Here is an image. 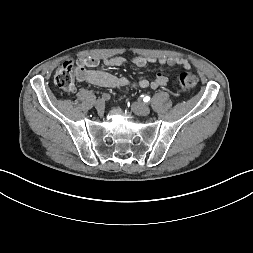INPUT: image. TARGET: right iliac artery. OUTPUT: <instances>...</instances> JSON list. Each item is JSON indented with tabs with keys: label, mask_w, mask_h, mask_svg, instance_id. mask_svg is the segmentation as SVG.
<instances>
[{
	"label": "right iliac artery",
	"mask_w": 253,
	"mask_h": 253,
	"mask_svg": "<svg viewBox=\"0 0 253 253\" xmlns=\"http://www.w3.org/2000/svg\"><path fill=\"white\" fill-rule=\"evenodd\" d=\"M110 98H111V96H110V94H108V93H103L102 96H101V99H102L103 101H107V100H109Z\"/></svg>",
	"instance_id": "82829eb1"
}]
</instances>
